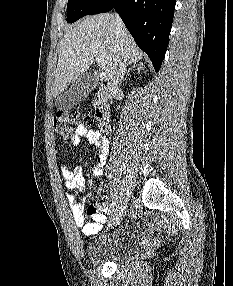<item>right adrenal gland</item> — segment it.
Wrapping results in <instances>:
<instances>
[{
  "label": "right adrenal gland",
  "mask_w": 233,
  "mask_h": 286,
  "mask_svg": "<svg viewBox=\"0 0 233 286\" xmlns=\"http://www.w3.org/2000/svg\"><path fill=\"white\" fill-rule=\"evenodd\" d=\"M137 69L138 71H141L144 69V64L142 62H138V63H134L125 73L126 76H128L129 72L132 70V69Z\"/></svg>",
  "instance_id": "right-adrenal-gland-1"
}]
</instances>
